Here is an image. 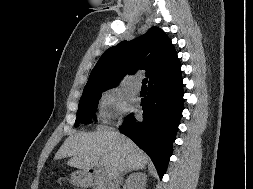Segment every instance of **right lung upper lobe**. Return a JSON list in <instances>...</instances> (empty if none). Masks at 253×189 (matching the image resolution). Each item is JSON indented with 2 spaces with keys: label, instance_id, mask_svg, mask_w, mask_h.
Listing matches in <instances>:
<instances>
[{
  "label": "right lung upper lobe",
  "instance_id": "obj_1",
  "mask_svg": "<svg viewBox=\"0 0 253 189\" xmlns=\"http://www.w3.org/2000/svg\"><path fill=\"white\" fill-rule=\"evenodd\" d=\"M142 69L146 70L149 85L181 73L171 40L160 28L152 27L142 36L106 50L93 68L84 91L113 87L124 74Z\"/></svg>",
  "mask_w": 253,
  "mask_h": 189
}]
</instances>
